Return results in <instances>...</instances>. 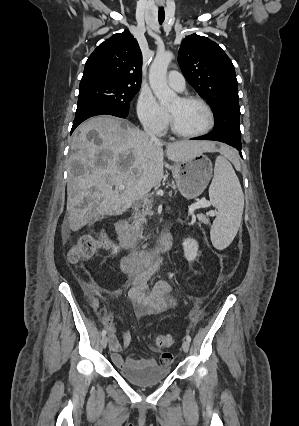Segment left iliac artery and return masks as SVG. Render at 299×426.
<instances>
[{
	"mask_svg": "<svg viewBox=\"0 0 299 426\" xmlns=\"http://www.w3.org/2000/svg\"><path fill=\"white\" fill-rule=\"evenodd\" d=\"M186 340L190 342L191 341V336L187 334L186 335Z\"/></svg>",
	"mask_w": 299,
	"mask_h": 426,
	"instance_id": "1",
	"label": "left iliac artery"
}]
</instances>
